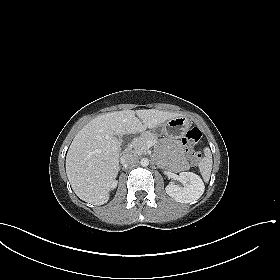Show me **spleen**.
I'll use <instances>...</instances> for the list:
<instances>
[{"label":"spleen","instance_id":"spleen-1","mask_svg":"<svg viewBox=\"0 0 280 280\" xmlns=\"http://www.w3.org/2000/svg\"><path fill=\"white\" fill-rule=\"evenodd\" d=\"M204 154L205 156L199 162V169L203 179L207 182L209 181L211 175L213 161L210 149L208 147L204 149Z\"/></svg>","mask_w":280,"mask_h":280}]
</instances>
